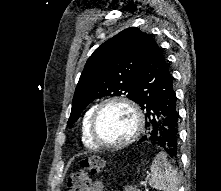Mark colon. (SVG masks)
Returning <instances> with one entry per match:
<instances>
[{
    "instance_id": "colon-1",
    "label": "colon",
    "mask_w": 221,
    "mask_h": 191,
    "mask_svg": "<svg viewBox=\"0 0 221 191\" xmlns=\"http://www.w3.org/2000/svg\"><path fill=\"white\" fill-rule=\"evenodd\" d=\"M104 166L105 161L99 157L83 159L80 164V170L70 177L69 191H89L90 175L99 173Z\"/></svg>"
}]
</instances>
